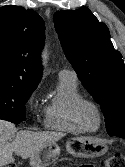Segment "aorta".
I'll list each match as a JSON object with an SVG mask.
<instances>
[{
    "label": "aorta",
    "mask_w": 125,
    "mask_h": 167,
    "mask_svg": "<svg viewBox=\"0 0 125 167\" xmlns=\"http://www.w3.org/2000/svg\"><path fill=\"white\" fill-rule=\"evenodd\" d=\"M43 58L46 59V52L43 53Z\"/></svg>",
    "instance_id": "762f6f07"
}]
</instances>
